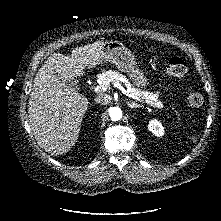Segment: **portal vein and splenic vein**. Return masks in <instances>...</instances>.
I'll return each instance as SVG.
<instances>
[{
	"instance_id": "obj_1",
	"label": "portal vein and splenic vein",
	"mask_w": 221,
	"mask_h": 221,
	"mask_svg": "<svg viewBox=\"0 0 221 221\" xmlns=\"http://www.w3.org/2000/svg\"><path fill=\"white\" fill-rule=\"evenodd\" d=\"M114 84V86L116 87V88H118L123 94H125L126 96H128V97H130V98H132V99H135V100H137V101H141V102H143V100L141 99V98H139L136 94H132L131 92H130V90L129 89H125L119 82H114L113 83ZM107 87L108 86H105L104 84H100V85H98V86H96L95 87V91L97 92H99V91H105L106 89H107ZM145 103H147V102H145ZM148 104V103H147ZM156 107H158V108H162V104H156Z\"/></svg>"
}]
</instances>
